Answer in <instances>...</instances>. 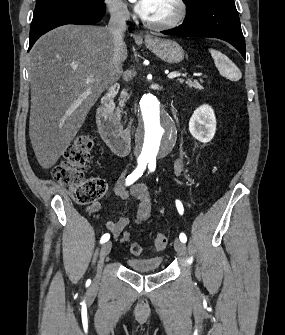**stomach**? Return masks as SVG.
I'll use <instances>...</instances> for the list:
<instances>
[{"mask_svg":"<svg viewBox=\"0 0 285 335\" xmlns=\"http://www.w3.org/2000/svg\"><path fill=\"white\" fill-rule=\"evenodd\" d=\"M152 42L145 40L146 48L151 50L160 60H164L167 64H179L184 60V52L173 40H160V38H151Z\"/></svg>","mask_w":285,"mask_h":335,"instance_id":"stomach-1","label":"stomach"}]
</instances>
